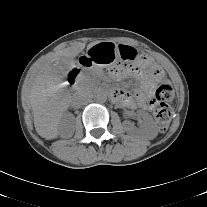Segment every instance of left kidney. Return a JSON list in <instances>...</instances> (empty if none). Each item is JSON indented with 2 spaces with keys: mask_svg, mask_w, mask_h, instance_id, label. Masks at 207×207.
<instances>
[{
  "mask_svg": "<svg viewBox=\"0 0 207 207\" xmlns=\"http://www.w3.org/2000/svg\"><path fill=\"white\" fill-rule=\"evenodd\" d=\"M138 115H140L145 121V125L140 127L142 136L148 140L154 139L158 134V129L152 116L145 111H138ZM125 130L127 133L132 135L137 133L135 127L130 123L125 124Z\"/></svg>",
  "mask_w": 207,
  "mask_h": 207,
  "instance_id": "obj_1",
  "label": "left kidney"
}]
</instances>
